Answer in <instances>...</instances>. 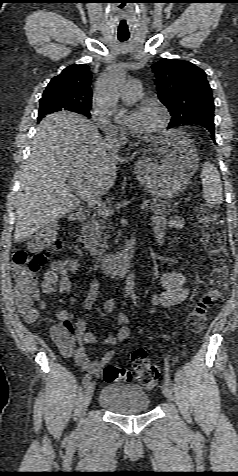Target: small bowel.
I'll list each match as a JSON object with an SVG mask.
<instances>
[{
    "label": "small bowel",
    "mask_w": 238,
    "mask_h": 476,
    "mask_svg": "<svg viewBox=\"0 0 238 476\" xmlns=\"http://www.w3.org/2000/svg\"><path fill=\"white\" fill-rule=\"evenodd\" d=\"M183 225L179 219L168 221L164 216L157 215L154 218V230L156 240L161 244L167 226L181 228ZM84 272L83 265L76 259L66 258L53 261L49 268L43 273L41 291L50 294L59 291L70 303L75 304L76 300L71 293L70 274L80 275ZM185 277L178 272H166L159 278V283L163 291L151 298L152 305H160L171 308L182 303L188 296L189 290L185 286ZM99 295V285L94 278L89 280L88 293L81 303L84 309H91ZM116 303L109 299L104 304V311L110 312ZM58 322L52 327L51 334L63 355L73 357L77 365L99 377L105 366L114 356L113 350L104 353L101 359L93 358L89 345L97 341V335L86 330V322L81 317H75L68 311H60L57 314ZM118 331L111 334L104 340L105 345L113 346L125 340L130 335L128 318L122 314L117 319Z\"/></svg>",
    "instance_id": "1"
}]
</instances>
